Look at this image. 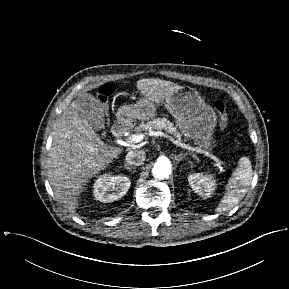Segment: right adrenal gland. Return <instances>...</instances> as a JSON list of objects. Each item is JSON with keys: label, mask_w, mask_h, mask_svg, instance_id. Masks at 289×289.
Listing matches in <instances>:
<instances>
[{"label": "right adrenal gland", "mask_w": 289, "mask_h": 289, "mask_svg": "<svg viewBox=\"0 0 289 289\" xmlns=\"http://www.w3.org/2000/svg\"><path fill=\"white\" fill-rule=\"evenodd\" d=\"M124 168L128 169V170H131L132 167H129L126 163L124 164Z\"/></svg>", "instance_id": "obj_1"}]
</instances>
